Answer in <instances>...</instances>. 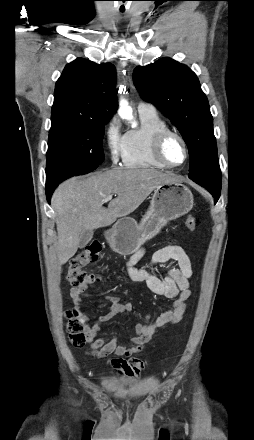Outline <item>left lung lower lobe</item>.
Instances as JSON below:
<instances>
[{
  "mask_svg": "<svg viewBox=\"0 0 254 440\" xmlns=\"http://www.w3.org/2000/svg\"><path fill=\"white\" fill-rule=\"evenodd\" d=\"M217 201H218V198L216 197V198H215V202H217Z\"/></svg>",
  "mask_w": 254,
  "mask_h": 440,
  "instance_id": "1",
  "label": "left lung lower lobe"
}]
</instances>
